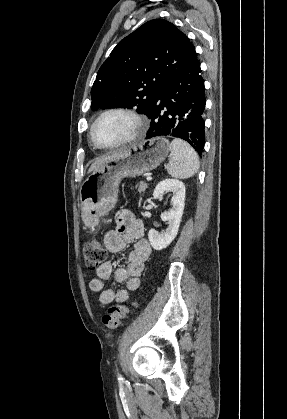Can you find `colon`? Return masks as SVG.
<instances>
[{
  "instance_id": "5ec220e1",
  "label": "colon",
  "mask_w": 287,
  "mask_h": 419,
  "mask_svg": "<svg viewBox=\"0 0 287 419\" xmlns=\"http://www.w3.org/2000/svg\"><path fill=\"white\" fill-rule=\"evenodd\" d=\"M83 252L86 266L92 270L98 269L104 264L107 258V252L104 246L97 239H90L86 241ZM136 305V302H134L131 306L117 304L110 307L102 317L103 324L111 330L118 328L122 319H124L130 310L136 307Z\"/></svg>"
}]
</instances>
